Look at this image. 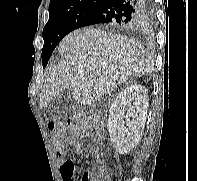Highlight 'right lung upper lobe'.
Returning a JSON list of instances; mask_svg holds the SVG:
<instances>
[{
  "label": "right lung upper lobe",
  "mask_w": 197,
  "mask_h": 181,
  "mask_svg": "<svg viewBox=\"0 0 197 181\" xmlns=\"http://www.w3.org/2000/svg\"><path fill=\"white\" fill-rule=\"evenodd\" d=\"M106 0H51L49 5V14L64 11L74 7H78L85 4H99V6ZM139 29V28H133Z\"/></svg>",
  "instance_id": "obj_1"
}]
</instances>
